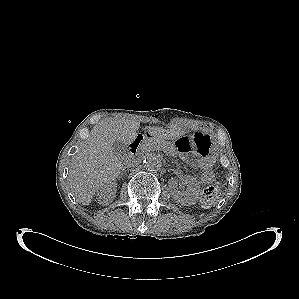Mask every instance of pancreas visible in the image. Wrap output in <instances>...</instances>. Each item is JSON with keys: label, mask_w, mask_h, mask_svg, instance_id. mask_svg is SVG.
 I'll return each instance as SVG.
<instances>
[{"label": "pancreas", "mask_w": 299, "mask_h": 299, "mask_svg": "<svg viewBox=\"0 0 299 299\" xmlns=\"http://www.w3.org/2000/svg\"><path fill=\"white\" fill-rule=\"evenodd\" d=\"M143 150L146 152L161 150L170 156L176 154V148L171 143L163 140H147L143 145Z\"/></svg>", "instance_id": "1"}]
</instances>
